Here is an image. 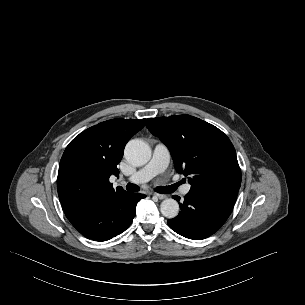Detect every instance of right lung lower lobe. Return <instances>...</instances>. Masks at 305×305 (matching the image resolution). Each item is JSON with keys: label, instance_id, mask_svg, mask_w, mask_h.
I'll use <instances>...</instances> for the list:
<instances>
[{"label": "right lung lower lobe", "instance_id": "right-lung-lower-lobe-1", "mask_svg": "<svg viewBox=\"0 0 305 305\" xmlns=\"http://www.w3.org/2000/svg\"><path fill=\"white\" fill-rule=\"evenodd\" d=\"M145 197L139 193L122 192L64 212L83 236L102 242L122 233L130 226L138 201Z\"/></svg>", "mask_w": 305, "mask_h": 305}]
</instances>
